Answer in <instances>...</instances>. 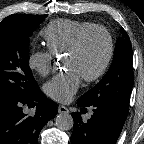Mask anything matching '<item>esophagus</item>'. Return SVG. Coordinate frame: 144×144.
<instances>
[{
  "instance_id": "esophagus-1",
  "label": "esophagus",
  "mask_w": 144,
  "mask_h": 144,
  "mask_svg": "<svg viewBox=\"0 0 144 144\" xmlns=\"http://www.w3.org/2000/svg\"><path fill=\"white\" fill-rule=\"evenodd\" d=\"M58 113L67 114V113H69V110L67 107H65L63 105H59L58 106Z\"/></svg>"
}]
</instances>
